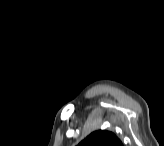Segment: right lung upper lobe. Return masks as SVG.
I'll return each mask as SVG.
<instances>
[{"label":"right lung upper lobe","instance_id":"right-lung-upper-lobe-1","mask_svg":"<svg viewBox=\"0 0 164 146\" xmlns=\"http://www.w3.org/2000/svg\"><path fill=\"white\" fill-rule=\"evenodd\" d=\"M79 146H123L112 132L99 130L87 136Z\"/></svg>","mask_w":164,"mask_h":146}]
</instances>
